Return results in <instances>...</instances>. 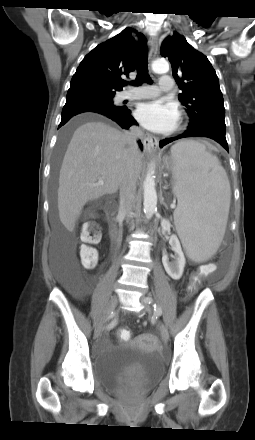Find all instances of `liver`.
Returning <instances> with one entry per match:
<instances>
[{
    "label": "liver",
    "mask_w": 255,
    "mask_h": 440,
    "mask_svg": "<svg viewBox=\"0 0 255 440\" xmlns=\"http://www.w3.org/2000/svg\"><path fill=\"white\" fill-rule=\"evenodd\" d=\"M126 133L103 122L79 126L70 140L59 174L58 211L61 223L72 231L84 205L118 191L129 158ZM142 154L134 156L138 179ZM103 184H99L100 180Z\"/></svg>",
    "instance_id": "obj_1"
}]
</instances>
